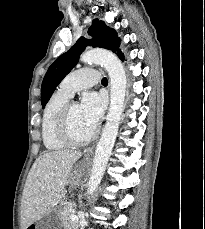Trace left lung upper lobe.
I'll use <instances>...</instances> for the list:
<instances>
[{
    "mask_svg": "<svg viewBox=\"0 0 205 229\" xmlns=\"http://www.w3.org/2000/svg\"><path fill=\"white\" fill-rule=\"evenodd\" d=\"M88 34L93 36L92 40L80 37L69 51L59 56L49 67L41 86V103L43 107L58 84L77 64L80 54L87 45L110 49L117 54L120 52V49H118L120 40L117 37L116 31L106 27L104 22L94 19Z\"/></svg>",
    "mask_w": 205,
    "mask_h": 229,
    "instance_id": "obj_1",
    "label": "left lung upper lobe"
}]
</instances>
